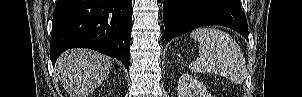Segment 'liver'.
Wrapping results in <instances>:
<instances>
[{
    "mask_svg": "<svg viewBox=\"0 0 302 97\" xmlns=\"http://www.w3.org/2000/svg\"><path fill=\"white\" fill-rule=\"evenodd\" d=\"M112 61L88 49H73L57 60L55 71L70 97H88L107 78Z\"/></svg>",
    "mask_w": 302,
    "mask_h": 97,
    "instance_id": "liver-1",
    "label": "liver"
}]
</instances>
